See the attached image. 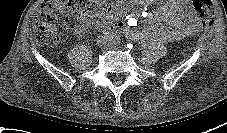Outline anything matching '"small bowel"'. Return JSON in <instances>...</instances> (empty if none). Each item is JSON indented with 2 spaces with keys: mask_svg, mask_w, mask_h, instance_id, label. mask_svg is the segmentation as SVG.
I'll return each instance as SVG.
<instances>
[{
  "mask_svg": "<svg viewBox=\"0 0 227 133\" xmlns=\"http://www.w3.org/2000/svg\"><path fill=\"white\" fill-rule=\"evenodd\" d=\"M136 1L141 4H149L152 0ZM189 2L190 0H168L159 6L154 16L149 18L150 22L156 23L155 27L127 28L126 35L131 39L172 42L194 34L199 29V22ZM128 19L126 20L127 25H129ZM117 24H120L121 28L124 26L122 22Z\"/></svg>",
  "mask_w": 227,
  "mask_h": 133,
  "instance_id": "small-bowel-1",
  "label": "small bowel"
}]
</instances>
